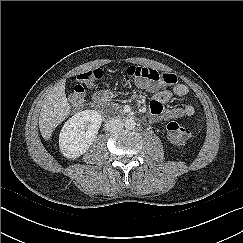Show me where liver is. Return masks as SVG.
Instances as JSON below:
<instances>
[{
    "instance_id": "obj_1",
    "label": "liver",
    "mask_w": 243,
    "mask_h": 243,
    "mask_svg": "<svg viewBox=\"0 0 243 243\" xmlns=\"http://www.w3.org/2000/svg\"><path fill=\"white\" fill-rule=\"evenodd\" d=\"M70 113V104L65 94V84L57 83L51 90L41 108L39 129L42 137L49 140L55 128L61 124Z\"/></svg>"
}]
</instances>
